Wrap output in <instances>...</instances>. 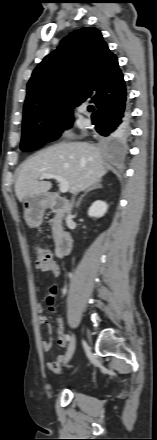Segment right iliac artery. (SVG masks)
I'll return each mask as SVG.
<instances>
[{
  "label": "right iliac artery",
  "mask_w": 157,
  "mask_h": 440,
  "mask_svg": "<svg viewBox=\"0 0 157 440\" xmlns=\"http://www.w3.org/2000/svg\"><path fill=\"white\" fill-rule=\"evenodd\" d=\"M66 339H67L68 342H70L71 341V336L69 334H67L66 335Z\"/></svg>",
  "instance_id": "obj_1"
}]
</instances>
